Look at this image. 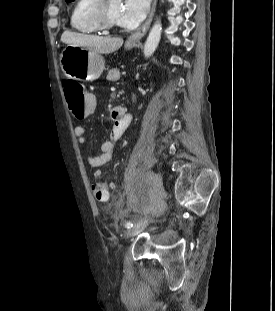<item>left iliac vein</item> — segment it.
Returning <instances> with one entry per match:
<instances>
[{
  "mask_svg": "<svg viewBox=\"0 0 275 311\" xmlns=\"http://www.w3.org/2000/svg\"><path fill=\"white\" fill-rule=\"evenodd\" d=\"M148 223H149V219H147V218L141 219L133 227L129 228L125 232V236L126 237H133V236L139 234L141 231L144 230V228L148 225Z\"/></svg>",
  "mask_w": 275,
  "mask_h": 311,
  "instance_id": "1",
  "label": "left iliac vein"
}]
</instances>
